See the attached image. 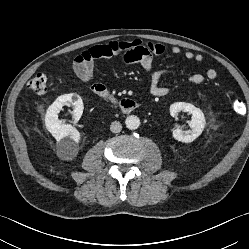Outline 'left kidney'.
Masks as SVG:
<instances>
[{"instance_id":"left-kidney-1","label":"left kidney","mask_w":249,"mask_h":249,"mask_svg":"<svg viewBox=\"0 0 249 249\" xmlns=\"http://www.w3.org/2000/svg\"><path fill=\"white\" fill-rule=\"evenodd\" d=\"M181 111L192 115V120L189 121L191 130L182 131L178 127L173 131V137L177 141L190 143L199 137L203 132L205 127V117L199 108L190 103L176 102L170 106V114L172 117H177V114Z\"/></svg>"}]
</instances>
